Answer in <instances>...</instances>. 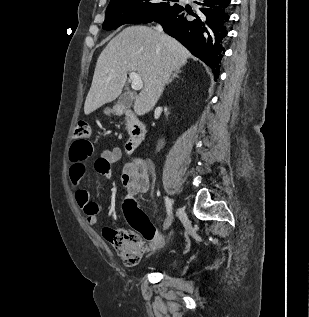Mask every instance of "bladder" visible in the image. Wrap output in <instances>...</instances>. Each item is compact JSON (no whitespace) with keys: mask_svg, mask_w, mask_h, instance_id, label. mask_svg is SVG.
<instances>
[{"mask_svg":"<svg viewBox=\"0 0 309 317\" xmlns=\"http://www.w3.org/2000/svg\"><path fill=\"white\" fill-rule=\"evenodd\" d=\"M170 266H171V267H174V263H171Z\"/></svg>","mask_w":309,"mask_h":317,"instance_id":"31cf9c89","label":"bladder"}]
</instances>
